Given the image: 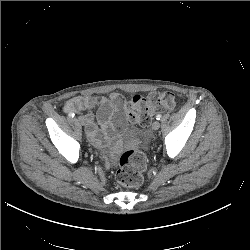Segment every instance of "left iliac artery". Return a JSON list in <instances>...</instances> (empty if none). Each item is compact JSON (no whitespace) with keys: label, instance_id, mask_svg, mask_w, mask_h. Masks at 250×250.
<instances>
[{"label":"left iliac artery","instance_id":"1","mask_svg":"<svg viewBox=\"0 0 250 250\" xmlns=\"http://www.w3.org/2000/svg\"><path fill=\"white\" fill-rule=\"evenodd\" d=\"M161 117H162V116H161L160 114H158V115L156 116V119H157V120H160Z\"/></svg>","mask_w":250,"mask_h":250}]
</instances>
